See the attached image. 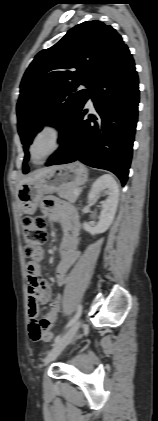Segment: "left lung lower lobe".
<instances>
[{
  "label": "left lung lower lobe",
  "mask_w": 158,
  "mask_h": 421,
  "mask_svg": "<svg viewBox=\"0 0 158 421\" xmlns=\"http://www.w3.org/2000/svg\"><path fill=\"white\" fill-rule=\"evenodd\" d=\"M91 96L96 113L88 119ZM139 87L134 60L123 45L89 87L81 108L59 138L58 151L46 166L82 163L113 172L125 185L138 116Z\"/></svg>",
  "instance_id": "left-lung-lower-lobe-1"
}]
</instances>
